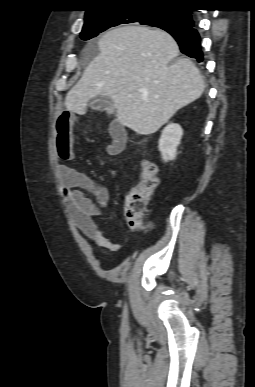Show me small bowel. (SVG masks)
Masks as SVG:
<instances>
[{
    "label": "small bowel",
    "mask_w": 255,
    "mask_h": 387,
    "mask_svg": "<svg viewBox=\"0 0 255 387\" xmlns=\"http://www.w3.org/2000/svg\"><path fill=\"white\" fill-rule=\"evenodd\" d=\"M75 118L76 114L65 111L56 122V148L63 162L74 157ZM109 133L111 142L107 147V153L115 156L124 150L127 134L122 125L115 121L110 124ZM58 172L64 205L75 225L99 246L118 251L120 245L110 241L103 234L96 220L104 214L107 207L109 200L107 188L65 163L59 165Z\"/></svg>",
    "instance_id": "c3829d8e"
}]
</instances>
